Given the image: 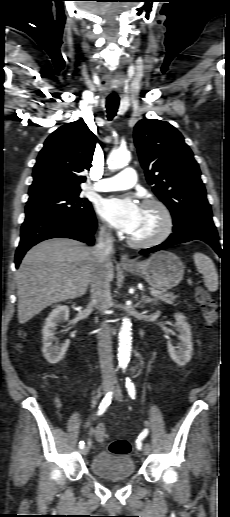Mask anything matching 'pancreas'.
<instances>
[{
	"label": "pancreas",
	"mask_w": 230,
	"mask_h": 517,
	"mask_svg": "<svg viewBox=\"0 0 230 517\" xmlns=\"http://www.w3.org/2000/svg\"><path fill=\"white\" fill-rule=\"evenodd\" d=\"M161 293L159 295L155 296L156 301L161 300L168 304H173L175 299L178 297L177 295H174L173 293H168L165 291H160Z\"/></svg>",
	"instance_id": "pancreas-1"
}]
</instances>
